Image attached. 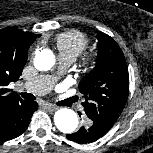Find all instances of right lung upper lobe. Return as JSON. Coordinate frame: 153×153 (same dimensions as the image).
<instances>
[{
    "instance_id": "1",
    "label": "right lung upper lobe",
    "mask_w": 153,
    "mask_h": 153,
    "mask_svg": "<svg viewBox=\"0 0 153 153\" xmlns=\"http://www.w3.org/2000/svg\"><path fill=\"white\" fill-rule=\"evenodd\" d=\"M40 35L7 27L0 30V116L23 100L7 86L22 74L30 45Z\"/></svg>"
}]
</instances>
